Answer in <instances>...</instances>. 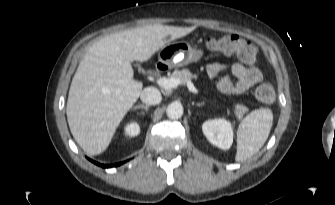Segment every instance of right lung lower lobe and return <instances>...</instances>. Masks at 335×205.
Returning <instances> with one entry per match:
<instances>
[{
    "label": "right lung lower lobe",
    "instance_id": "1",
    "mask_svg": "<svg viewBox=\"0 0 335 205\" xmlns=\"http://www.w3.org/2000/svg\"><path fill=\"white\" fill-rule=\"evenodd\" d=\"M90 161H92V160H90ZM92 162L95 163L98 166H101L102 168L114 167V166H119V165L122 164V163H117V164H113V165H105V164H100V163L95 162V161H92Z\"/></svg>",
    "mask_w": 335,
    "mask_h": 205
}]
</instances>
